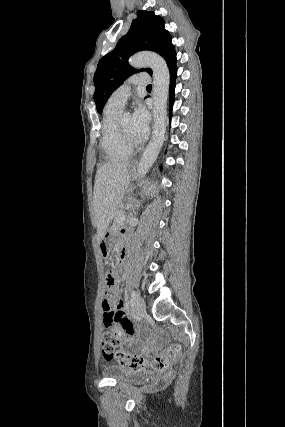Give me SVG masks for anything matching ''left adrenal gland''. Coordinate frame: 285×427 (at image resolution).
Returning <instances> with one entry per match:
<instances>
[{
    "instance_id": "obj_1",
    "label": "left adrenal gland",
    "mask_w": 285,
    "mask_h": 427,
    "mask_svg": "<svg viewBox=\"0 0 285 427\" xmlns=\"http://www.w3.org/2000/svg\"><path fill=\"white\" fill-rule=\"evenodd\" d=\"M131 207H132V209L134 210V207H133V205L131 204Z\"/></svg>"
}]
</instances>
